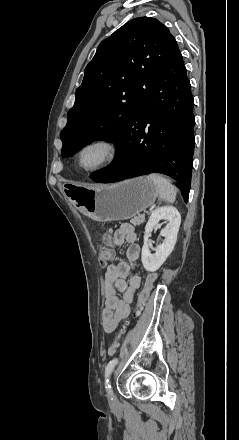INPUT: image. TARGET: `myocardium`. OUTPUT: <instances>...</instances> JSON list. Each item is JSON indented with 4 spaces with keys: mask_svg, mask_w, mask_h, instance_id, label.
Returning <instances> with one entry per match:
<instances>
[{
    "mask_svg": "<svg viewBox=\"0 0 239 440\" xmlns=\"http://www.w3.org/2000/svg\"><path fill=\"white\" fill-rule=\"evenodd\" d=\"M92 147H102L105 150V157L100 164L93 168H83L81 166V160L84 152ZM120 154V145L118 141L107 135H101L93 137L85 141L79 148L76 156V165L78 169L86 174H93L101 172L110 167L118 159Z\"/></svg>",
    "mask_w": 239,
    "mask_h": 440,
    "instance_id": "1",
    "label": "myocardium"
}]
</instances>
